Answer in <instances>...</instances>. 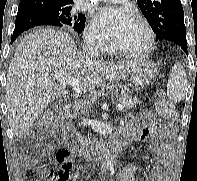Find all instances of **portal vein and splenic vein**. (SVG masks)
I'll use <instances>...</instances> for the list:
<instances>
[{"label": "portal vein and splenic vein", "mask_w": 197, "mask_h": 181, "mask_svg": "<svg viewBox=\"0 0 197 181\" xmlns=\"http://www.w3.org/2000/svg\"><path fill=\"white\" fill-rule=\"evenodd\" d=\"M54 76L57 79H59L61 81H64L68 85H70L76 91V93L82 94V91H81L80 85H79V80L76 77L68 75L67 73H64L62 71L55 72ZM83 97H85V96H83ZM116 108H117L118 111H121V110H123L124 105L120 103V104L117 105Z\"/></svg>", "instance_id": "portal-vein-and-splenic-vein-1"}]
</instances>
